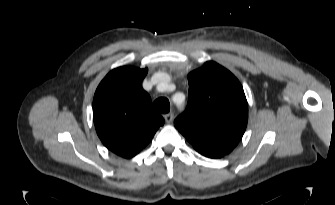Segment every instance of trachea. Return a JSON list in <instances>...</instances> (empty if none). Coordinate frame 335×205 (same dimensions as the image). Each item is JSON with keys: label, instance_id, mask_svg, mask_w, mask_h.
Wrapping results in <instances>:
<instances>
[{"label": "trachea", "instance_id": "3493384b", "mask_svg": "<svg viewBox=\"0 0 335 205\" xmlns=\"http://www.w3.org/2000/svg\"><path fill=\"white\" fill-rule=\"evenodd\" d=\"M153 107L160 113H168L170 111L169 100L165 97H160L153 102Z\"/></svg>", "mask_w": 335, "mask_h": 205}]
</instances>
